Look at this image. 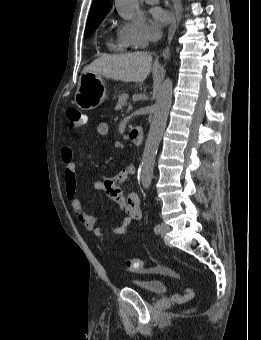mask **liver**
<instances>
[{"instance_id":"1","label":"liver","mask_w":261,"mask_h":340,"mask_svg":"<svg viewBox=\"0 0 261 340\" xmlns=\"http://www.w3.org/2000/svg\"><path fill=\"white\" fill-rule=\"evenodd\" d=\"M152 56L147 52L102 55L83 70L124 82H143L151 71Z\"/></svg>"}]
</instances>
